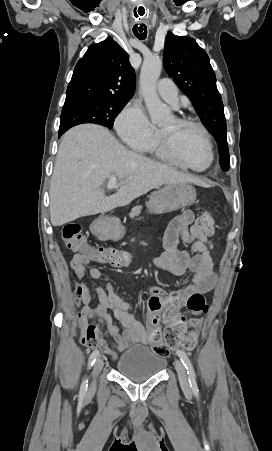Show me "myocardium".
Wrapping results in <instances>:
<instances>
[{"instance_id":"1","label":"myocardium","mask_w":272,"mask_h":451,"mask_svg":"<svg viewBox=\"0 0 272 451\" xmlns=\"http://www.w3.org/2000/svg\"><path fill=\"white\" fill-rule=\"evenodd\" d=\"M173 119L180 125L193 127L194 129H196L201 134V136L203 138V141H204V143H205V145H206V147H207V149H208V151L210 153V163L203 170L193 169V168L189 167L188 165L184 164L183 162L180 164V167L183 170H185L187 172H191V173H202V172H206V171L210 170L215 164L216 154H215V150H214L213 144H212V142H211V140L209 138V135H208L207 131L205 130V128L201 124L196 123V122H194L192 120H189V119H186V118L173 117ZM160 138H161V147H162V150L164 152H167L168 148L171 147V146L177 152L176 148L173 145L168 144L167 136H166V133H165V131L163 129H161ZM173 160L175 161V158Z\"/></svg>"}]
</instances>
